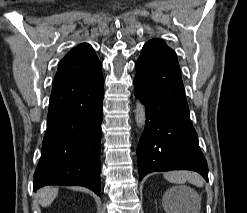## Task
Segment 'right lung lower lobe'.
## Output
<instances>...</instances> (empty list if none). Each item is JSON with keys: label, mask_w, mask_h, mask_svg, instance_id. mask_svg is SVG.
Segmentation results:
<instances>
[{"label": "right lung lower lobe", "mask_w": 247, "mask_h": 213, "mask_svg": "<svg viewBox=\"0 0 247 213\" xmlns=\"http://www.w3.org/2000/svg\"><path fill=\"white\" fill-rule=\"evenodd\" d=\"M103 97L101 67L53 84L34 190L79 185L100 195Z\"/></svg>", "instance_id": "obj_1"}]
</instances>
